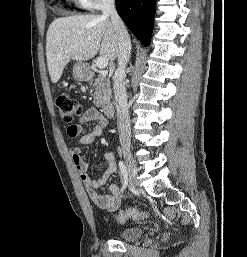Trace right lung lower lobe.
<instances>
[{"instance_id":"98d812e1","label":"right lung lower lobe","mask_w":247,"mask_h":257,"mask_svg":"<svg viewBox=\"0 0 247 257\" xmlns=\"http://www.w3.org/2000/svg\"><path fill=\"white\" fill-rule=\"evenodd\" d=\"M155 4L156 0H116L118 14L145 46L150 43Z\"/></svg>"}]
</instances>
